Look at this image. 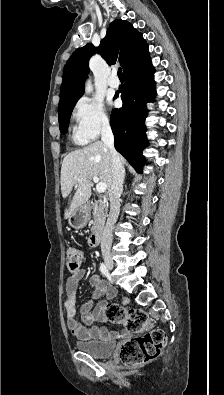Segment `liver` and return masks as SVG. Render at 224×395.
Here are the masks:
<instances>
[{"label": "liver", "instance_id": "1", "mask_svg": "<svg viewBox=\"0 0 224 395\" xmlns=\"http://www.w3.org/2000/svg\"><path fill=\"white\" fill-rule=\"evenodd\" d=\"M124 165L126 160L120 156ZM97 176L109 190L112 184L111 154L101 141L77 149L63 159L61 167V191L67 198L72 189L76 190L69 208L65 210V219L78 207L85 205L91 196L92 179ZM79 179V181H78Z\"/></svg>", "mask_w": 224, "mask_h": 395}]
</instances>
